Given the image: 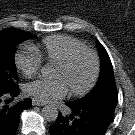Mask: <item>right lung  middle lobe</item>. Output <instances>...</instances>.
<instances>
[{"label": "right lung middle lobe", "mask_w": 135, "mask_h": 135, "mask_svg": "<svg viewBox=\"0 0 135 135\" xmlns=\"http://www.w3.org/2000/svg\"><path fill=\"white\" fill-rule=\"evenodd\" d=\"M34 37L19 29H7L0 32V93L18 87L14 62L15 47L20 42Z\"/></svg>", "instance_id": "1"}]
</instances>
